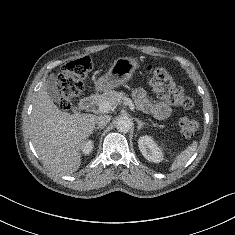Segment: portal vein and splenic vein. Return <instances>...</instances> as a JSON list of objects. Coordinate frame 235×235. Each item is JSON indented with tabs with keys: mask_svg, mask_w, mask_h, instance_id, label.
<instances>
[{
	"mask_svg": "<svg viewBox=\"0 0 235 235\" xmlns=\"http://www.w3.org/2000/svg\"><path fill=\"white\" fill-rule=\"evenodd\" d=\"M124 101H125V103L129 106V108H130L132 111H134L135 107H134V104H133L132 100L126 98V99H124ZM111 106H112V105H111L110 102L105 101V102H103V103H101V104L99 105L98 110H99V112H101V113H107L108 111H110Z\"/></svg>",
	"mask_w": 235,
	"mask_h": 235,
	"instance_id": "portal-vein-and-splenic-vein-1",
	"label": "portal vein and splenic vein"
}]
</instances>
